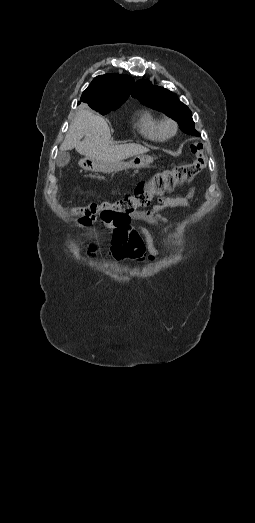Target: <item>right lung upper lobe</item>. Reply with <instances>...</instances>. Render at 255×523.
Instances as JSON below:
<instances>
[{
	"instance_id": "right-lung-upper-lobe-1",
	"label": "right lung upper lobe",
	"mask_w": 255,
	"mask_h": 523,
	"mask_svg": "<svg viewBox=\"0 0 255 523\" xmlns=\"http://www.w3.org/2000/svg\"><path fill=\"white\" fill-rule=\"evenodd\" d=\"M134 79L128 75L106 74L97 76L83 92L81 102L89 106L101 103L125 102L132 90Z\"/></svg>"
}]
</instances>
